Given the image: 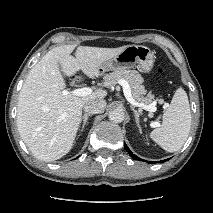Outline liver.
Segmentation results:
<instances>
[{
  "label": "liver",
  "mask_w": 213,
  "mask_h": 213,
  "mask_svg": "<svg viewBox=\"0 0 213 213\" xmlns=\"http://www.w3.org/2000/svg\"><path fill=\"white\" fill-rule=\"evenodd\" d=\"M126 47L79 46L73 57L76 45H63L47 52L30 70L19 93L17 128L33 156L51 162L66 155L77 135L83 106L107 95L105 90H96L84 97L63 96L65 81L61 70L67 76L81 70L94 78L103 63Z\"/></svg>",
  "instance_id": "obj_1"
}]
</instances>
